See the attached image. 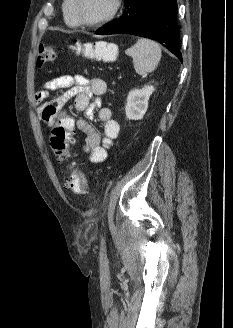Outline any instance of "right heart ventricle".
<instances>
[{
  "mask_svg": "<svg viewBox=\"0 0 233 328\" xmlns=\"http://www.w3.org/2000/svg\"><path fill=\"white\" fill-rule=\"evenodd\" d=\"M62 11L64 21L69 27L75 28L79 26L74 14V0H64Z\"/></svg>",
  "mask_w": 233,
  "mask_h": 328,
  "instance_id": "e07e8e85",
  "label": "right heart ventricle"
}]
</instances>
